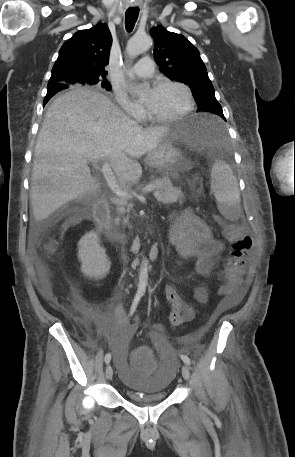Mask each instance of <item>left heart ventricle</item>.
Returning a JSON list of instances; mask_svg holds the SVG:
<instances>
[{"mask_svg": "<svg viewBox=\"0 0 295 457\" xmlns=\"http://www.w3.org/2000/svg\"><path fill=\"white\" fill-rule=\"evenodd\" d=\"M187 100L183 90L176 86H163L155 89L146 98L147 107L158 116H172L181 112Z\"/></svg>", "mask_w": 295, "mask_h": 457, "instance_id": "left-heart-ventricle-1", "label": "left heart ventricle"}]
</instances>
